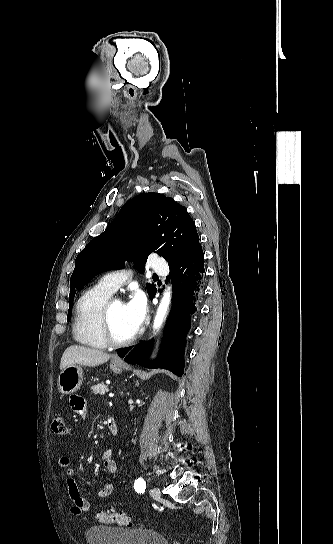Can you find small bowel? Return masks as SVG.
<instances>
[{
    "mask_svg": "<svg viewBox=\"0 0 333 544\" xmlns=\"http://www.w3.org/2000/svg\"><path fill=\"white\" fill-rule=\"evenodd\" d=\"M70 407L73 412L80 418H86L87 408L85 400L79 395H72L70 397ZM108 422V420H107ZM108 424V423H107ZM111 424L114 425L117 431V423L114 419H111ZM108 426V425H107ZM102 465L104 469L114 474L118 471V463L112 458V451L106 450L102 456ZM58 466L61 470V474L65 479L67 492L70 498V511L74 515H81L90 508V502L88 498L81 492L76 481V472L73 468L69 467V460L67 457H61L58 461ZM114 491V485L111 483L105 484L98 492L100 498H107L112 495Z\"/></svg>",
    "mask_w": 333,
    "mask_h": 544,
    "instance_id": "small-bowel-1",
    "label": "small bowel"
}]
</instances>
